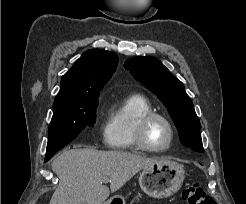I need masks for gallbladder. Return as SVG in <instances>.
Here are the masks:
<instances>
[{"label":"gallbladder","mask_w":246,"mask_h":204,"mask_svg":"<svg viewBox=\"0 0 246 204\" xmlns=\"http://www.w3.org/2000/svg\"><path fill=\"white\" fill-rule=\"evenodd\" d=\"M82 204H87L86 202H83Z\"/></svg>","instance_id":"1"}]
</instances>
